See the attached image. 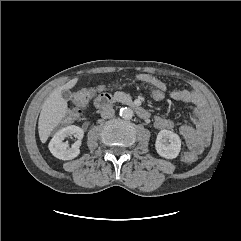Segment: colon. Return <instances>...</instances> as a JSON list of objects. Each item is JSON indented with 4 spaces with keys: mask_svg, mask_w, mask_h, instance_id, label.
Instances as JSON below:
<instances>
[{
    "mask_svg": "<svg viewBox=\"0 0 241 241\" xmlns=\"http://www.w3.org/2000/svg\"><path fill=\"white\" fill-rule=\"evenodd\" d=\"M118 84L116 83V85ZM147 90L150 97L157 102H161L166 98V90L162 87L147 85ZM91 95L92 91L89 89L79 90L73 95L72 108L64 119L65 124L73 123L79 117L81 110L85 107ZM181 158L186 163H193L197 160V155L189 151H183Z\"/></svg>",
    "mask_w": 241,
    "mask_h": 241,
    "instance_id": "1",
    "label": "colon"
}]
</instances>
